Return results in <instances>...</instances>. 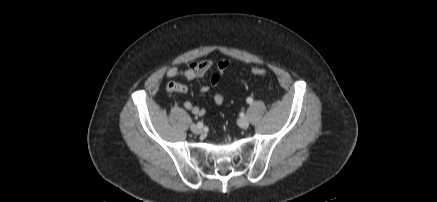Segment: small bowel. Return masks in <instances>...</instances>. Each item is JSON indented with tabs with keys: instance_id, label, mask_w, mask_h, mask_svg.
Masks as SVG:
<instances>
[{
	"instance_id": "1",
	"label": "small bowel",
	"mask_w": 437,
	"mask_h": 202,
	"mask_svg": "<svg viewBox=\"0 0 437 202\" xmlns=\"http://www.w3.org/2000/svg\"><path fill=\"white\" fill-rule=\"evenodd\" d=\"M215 63L211 59H206L202 61H194L188 64L186 68H177L170 67L166 71V76L170 79L175 78H185L188 81H193L195 79L203 77L206 73H208L213 67ZM230 63L226 59H222L216 63V70L210 76L209 83L210 85H202L200 87V91L206 93L210 90L211 86H216L220 79V74L224 72ZM166 90L175 94H185L189 91V86L177 81H169L166 84ZM226 95L224 92H215L213 94V100L217 105L222 104L225 101ZM182 106L184 109L189 111L190 113L196 116H204L206 114V109L199 107L197 105L192 104L189 101L182 102Z\"/></svg>"
}]
</instances>
